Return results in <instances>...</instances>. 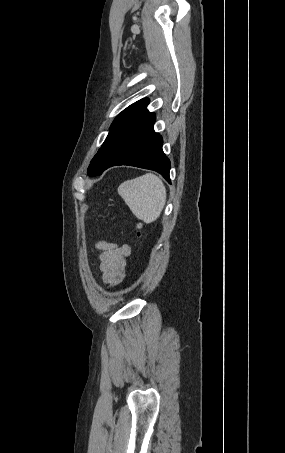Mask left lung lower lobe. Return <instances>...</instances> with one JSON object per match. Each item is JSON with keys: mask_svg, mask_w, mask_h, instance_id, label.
Instances as JSON below:
<instances>
[{"mask_svg": "<svg viewBox=\"0 0 285 453\" xmlns=\"http://www.w3.org/2000/svg\"><path fill=\"white\" fill-rule=\"evenodd\" d=\"M155 114L147 109L121 135L98 175L115 165H131L160 173L169 183L170 161L162 137L153 129Z\"/></svg>", "mask_w": 285, "mask_h": 453, "instance_id": "0a47b994", "label": "left lung lower lobe"}]
</instances>
